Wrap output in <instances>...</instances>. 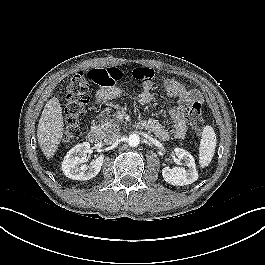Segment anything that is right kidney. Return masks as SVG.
<instances>
[{"instance_id":"right-kidney-1","label":"right kidney","mask_w":265,"mask_h":265,"mask_svg":"<svg viewBox=\"0 0 265 265\" xmlns=\"http://www.w3.org/2000/svg\"><path fill=\"white\" fill-rule=\"evenodd\" d=\"M90 150V143L83 142L70 149L62 162V171L64 175L73 180H89L95 177L101 170L103 156L93 160L89 166H86V155Z\"/></svg>"}]
</instances>
